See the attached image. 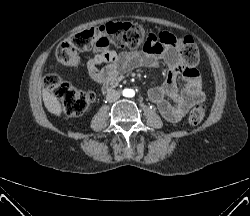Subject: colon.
<instances>
[{
  "label": "colon",
  "mask_w": 250,
  "mask_h": 216,
  "mask_svg": "<svg viewBox=\"0 0 250 216\" xmlns=\"http://www.w3.org/2000/svg\"><path fill=\"white\" fill-rule=\"evenodd\" d=\"M146 33L144 27L137 23L109 22L71 35L58 46L56 56L61 64L75 66L80 61L82 51L109 46L137 48L143 46L142 39ZM177 40L183 63L188 68L195 69L199 63V51L195 41L190 36H182ZM44 85L61 102L68 116L83 114L94 101L92 92L74 88L55 72L46 75ZM205 110V105H196L189 113V123L191 125L201 123Z\"/></svg>",
  "instance_id": "obj_1"
}]
</instances>
